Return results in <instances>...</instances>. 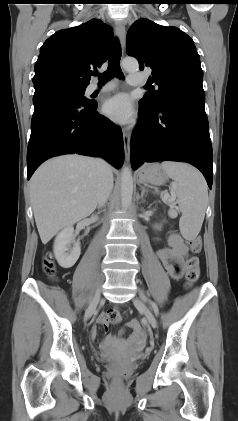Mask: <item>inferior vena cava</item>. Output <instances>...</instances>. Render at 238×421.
Wrapping results in <instances>:
<instances>
[{
  "label": "inferior vena cava",
  "instance_id": "1",
  "mask_svg": "<svg viewBox=\"0 0 238 421\" xmlns=\"http://www.w3.org/2000/svg\"><path fill=\"white\" fill-rule=\"evenodd\" d=\"M96 166L98 174L97 203L98 207H102L107 202L113 188V174L109 164L103 159H96Z\"/></svg>",
  "mask_w": 238,
  "mask_h": 421
}]
</instances>
